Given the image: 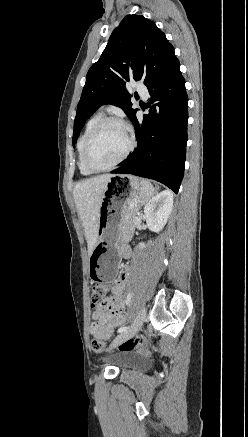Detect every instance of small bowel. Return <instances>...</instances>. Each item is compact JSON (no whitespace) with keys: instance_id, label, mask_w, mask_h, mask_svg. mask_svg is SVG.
<instances>
[{"instance_id":"c3829d8e","label":"small bowel","mask_w":248,"mask_h":437,"mask_svg":"<svg viewBox=\"0 0 248 437\" xmlns=\"http://www.w3.org/2000/svg\"><path fill=\"white\" fill-rule=\"evenodd\" d=\"M129 251V250H128ZM130 252L127 255L128 257ZM129 270L123 268L117 283L112 287L111 295L95 305L89 332L96 338L107 340L115 327L125 321L123 293L128 280Z\"/></svg>"}]
</instances>
